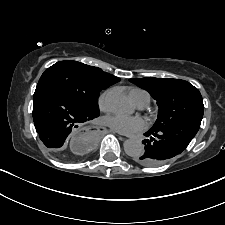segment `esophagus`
I'll use <instances>...</instances> for the list:
<instances>
[{
	"label": "esophagus",
	"instance_id": "1",
	"mask_svg": "<svg viewBox=\"0 0 225 225\" xmlns=\"http://www.w3.org/2000/svg\"><path fill=\"white\" fill-rule=\"evenodd\" d=\"M115 133H117V134H119V135H122V136H126V135H124V134H122V133H119V132H117V131H115Z\"/></svg>",
	"mask_w": 225,
	"mask_h": 225
}]
</instances>
